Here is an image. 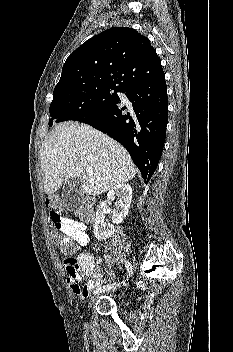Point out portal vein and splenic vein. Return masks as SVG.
<instances>
[{"instance_id":"portal-vein-and-splenic-vein-1","label":"portal vein and splenic vein","mask_w":233,"mask_h":352,"mask_svg":"<svg viewBox=\"0 0 233 352\" xmlns=\"http://www.w3.org/2000/svg\"><path fill=\"white\" fill-rule=\"evenodd\" d=\"M86 173H87L88 175H91V174L93 173L92 168L87 167V168H86Z\"/></svg>"}]
</instances>
